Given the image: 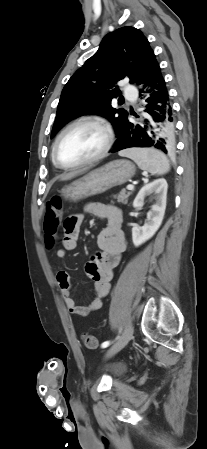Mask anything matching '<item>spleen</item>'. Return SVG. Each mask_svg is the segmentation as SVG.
Listing matches in <instances>:
<instances>
[{"label":"spleen","instance_id":"obj_1","mask_svg":"<svg viewBox=\"0 0 207 449\" xmlns=\"http://www.w3.org/2000/svg\"><path fill=\"white\" fill-rule=\"evenodd\" d=\"M120 156L132 159L140 169L152 175H162L170 170L167 157L160 151L152 148H131L119 152Z\"/></svg>","mask_w":207,"mask_h":449}]
</instances>
